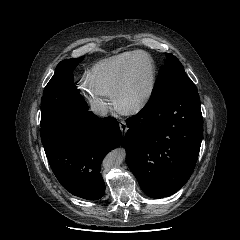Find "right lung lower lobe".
I'll return each instance as SVG.
<instances>
[{"instance_id":"obj_1","label":"right lung lower lobe","mask_w":240,"mask_h":240,"mask_svg":"<svg viewBox=\"0 0 240 240\" xmlns=\"http://www.w3.org/2000/svg\"><path fill=\"white\" fill-rule=\"evenodd\" d=\"M88 109L81 95L74 98L70 110L43 125L40 135L60 184L75 196L97 200L105 192L102 159L121 144L122 134L114 117L101 120Z\"/></svg>"}]
</instances>
